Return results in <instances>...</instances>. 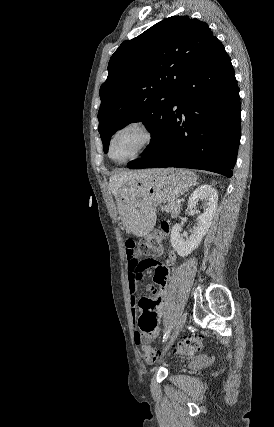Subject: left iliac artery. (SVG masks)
<instances>
[{"mask_svg":"<svg viewBox=\"0 0 274 427\" xmlns=\"http://www.w3.org/2000/svg\"><path fill=\"white\" fill-rule=\"evenodd\" d=\"M171 330H172V326H170V327L166 330V332H165V334H164V336H163V342L167 341V339H168V338H169V336H170Z\"/></svg>","mask_w":274,"mask_h":427,"instance_id":"obj_1","label":"left iliac artery"}]
</instances>
